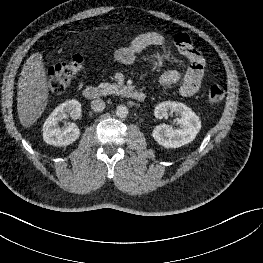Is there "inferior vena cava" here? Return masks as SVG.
Instances as JSON below:
<instances>
[{"label": "inferior vena cava", "instance_id": "inferior-vena-cava-1", "mask_svg": "<svg viewBox=\"0 0 263 263\" xmlns=\"http://www.w3.org/2000/svg\"><path fill=\"white\" fill-rule=\"evenodd\" d=\"M91 108L95 112H101L105 108V102L101 99H95L91 102Z\"/></svg>", "mask_w": 263, "mask_h": 263}]
</instances>
